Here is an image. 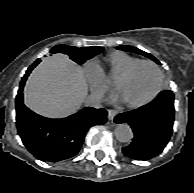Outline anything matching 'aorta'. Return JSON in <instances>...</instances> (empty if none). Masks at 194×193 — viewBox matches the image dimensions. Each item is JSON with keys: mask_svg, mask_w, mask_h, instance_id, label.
Masks as SVG:
<instances>
[{"mask_svg": "<svg viewBox=\"0 0 194 193\" xmlns=\"http://www.w3.org/2000/svg\"><path fill=\"white\" fill-rule=\"evenodd\" d=\"M115 136L119 142L126 143L133 138V132L128 124L122 123L117 125L115 129Z\"/></svg>", "mask_w": 194, "mask_h": 193, "instance_id": "obj_1", "label": "aorta"}]
</instances>
